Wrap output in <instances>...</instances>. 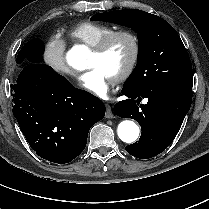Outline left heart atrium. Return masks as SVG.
Instances as JSON below:
<instances>
[{
  "label": "left heart atrium",
  "instance_id": "1",
  "mask_svg": "<svg viewBox=\"0 0 209 209\" xmlns=\"http://www.w3.org/2000/svg\"><path fill=\"white\" fill-rule=\"evenodd\" d=\"M80 85L91 94L106 98L116 79L107 75L101 68L94 67L79 76Z\"/></svg>",
  "mask_w": 209,
  "mask_h": 209
}]
</instances>
